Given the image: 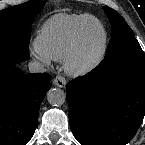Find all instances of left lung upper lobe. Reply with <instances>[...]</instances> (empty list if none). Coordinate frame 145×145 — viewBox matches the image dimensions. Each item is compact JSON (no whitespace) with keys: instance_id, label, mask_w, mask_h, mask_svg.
<instances>
[{"instance_id":"obj_1","label":"left lung upper lobe","mask_w":145,"mask_h":145,"mask_svg":"<svg viewBox=\"0 0 145 145\" xmlns=\"http://www.w3.org/2000/svg\"><path fill=\"white\" fill-rule=\"evenodd\" d=\"M103 9L111 24V39L105 59L101 62L102 68L109 70L125 65H145L144 52L132 29L115 10Z\"/></svg>"}]
</instances>
